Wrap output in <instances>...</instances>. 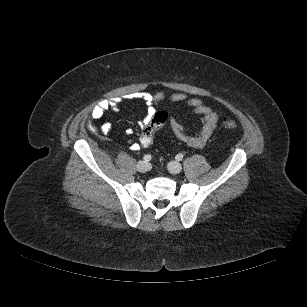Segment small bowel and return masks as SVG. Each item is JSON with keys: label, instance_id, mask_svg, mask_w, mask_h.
I'll use <instances>...</instances> for the list:
<instances>
[{"label": "small bowel", "instance_id": "c3829d8e", "mask_svg": "<svg viewBox=\"0 0 307 307\" xmlns=\"http://www.w3.org/2000/svg\"><path fill=\"white\" fill-rule=\"evenodd\" d=\"M126 98L139 99L146 104V115L138 122L142 129L150 124L153 115L156 113V106L163 101L168 100L171 103H186L194 113L201 117L202 124L199 131L193 135L188 134L184 127L174 118L170 120V127L179 140L193 148H202L206 144L217 127L219 120L217 113H215L210 106L204 104L201 99L188 98L184 93H174L167 97L164 92H157L155 94L140 92L126 96ZM118 105V99L103 100L93 108L91 116L93 119H100L108 111L117 112L119 110ZM110 130L111 124L109 122L104 123L101 127V133L105 136L109 134ZM132 133L133 130L131 128L126 129V134L130 135Z\"/></svg>", "mask_w": 307, "mask_h": 307}]
</instances>
